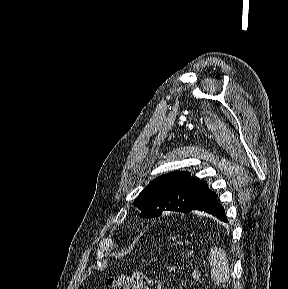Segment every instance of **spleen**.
<instances>
[{
    "instance_id": "3e777b00",
    "label": "spleen",
    "mask_w": 288,
    "mask_h": 289,
    "mask_svg": "<svg viewBox=\"0 0 288 289\" xmlns=\"http://www.w3.org/2000/svg\"><path fill=\"white\" fill-rule=\"evenodd\" d=\"M211 277L215 282L225 283L229 280V263L224 250L212 247L209 254Z\"/></svg>"
}]
</instances>
